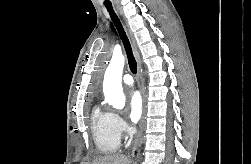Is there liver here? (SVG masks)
Segmentation results:
<instances>
[{"mask_svg": "<svg viewBox=\"0 0 251 164\" xmlns=\"http://www.w3.org/2000/svg\"><path fill=\"white\" fill-rule=\"evenodd\" d=\"M91 164H129V159L122 155H108L97 158Z\"/></svg>", "mask_w": 251, "mask_h": 164, "instance_id": "obj_1", "label": "liver"}]
</instances>
